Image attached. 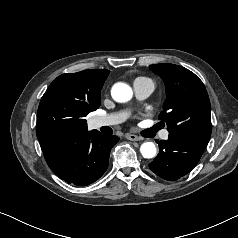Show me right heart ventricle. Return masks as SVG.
I'll return each mask as SVG.
<instances>
[{
  "label": "right heart ventricle",
  "mask_w": 238,
  "mask_h": 238,
  "mask_svg": "<svg viewBox=\"0 0 238 238\" xmlns=\"http://www.w3.org/2000/svg\"><path fill=\"white\" fill-rule=\"evenodd\" d=\"M137 80H150V79L146 78V77H138L134 80V82L137 81Z\"/></svg>",
  "instance_id": "right-heart-ventricle-1"
}]
</instances>
